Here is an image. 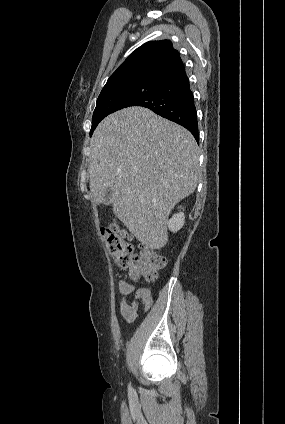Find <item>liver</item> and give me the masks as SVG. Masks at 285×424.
Instances as JSON below:
<instances>
[{
  "label": "liver",
  "mask_w": 285,
  "mask_h": 424,
  "mask_svg": "<svg viewBox=\"0 0 285 424\" xmlns=\"http://www.w3.org/2000/svg\"><path fill=\"white\" fill-rule=\"evenodd\" d=\"M90 148L95 203H104L111 187L116 217L142 244L164 247L171 210L197 187L199 153L193 135L147 108L128 107L97 126Z\"/></svg>",
  "instance_id": "6515ba94"
}]
</instances>
